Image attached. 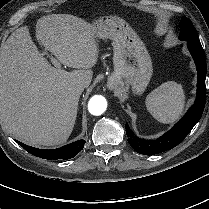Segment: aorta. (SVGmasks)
<instances>
[{"mask_svg": "<svg viewBox=\"0 0 209 209\" xmlns=\"http://www.w3.org/2000/svg\"><path fill=\"white\" fill-rule=\"evenodd\" d=\"M107 101L101 95L93 96L88 102V110L92 115L99 116L106 111Z\"/></svg>", "mask_w": 209, "mask_h": 209, "instance_id": "762f6f07", "label": "aorta"}]
</instances>
